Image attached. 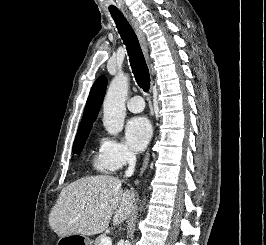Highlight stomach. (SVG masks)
<instances>
[{"label": "stomach", "instance_id": "0dacf381", "mask_svg": "<svg viewBox=\"0 0 266 245\" xmlns=\"http://www.w3.org/2000/svg\"><path fill=\"white\" fill-rule=\"evenodd\" d=\"M61 242H77V245H92V241L85 237V235H78V233H67V237H61Z\"/></svg>", "mask_w": 266, "mask_h": 245}]
</instances>
